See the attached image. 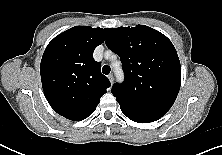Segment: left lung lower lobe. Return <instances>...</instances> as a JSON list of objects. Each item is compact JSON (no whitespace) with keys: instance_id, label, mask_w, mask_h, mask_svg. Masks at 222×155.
Listing matches in <instances>:
<instances>
[{"instance_id":"0a47b994","label":"left lung lower lobe","mask_w":222,"mask_h":155,"mask_svg":"<svg viewBox=\"0 0 222 155\" xmlns=\"http://www.w3.org/2000/svg\"><path fill=\"white\" fill-rule=\"evenodd\" d=\"M121 111L129 119H131L132 121L137 122V123H148V122H153V121L158 120L157 118H154V117H151V116L139 115V114L132 113V112H129V111H125V110H122V109H121Z\"/></svg>"}]
</instances>
